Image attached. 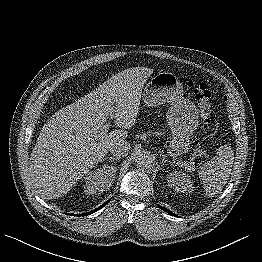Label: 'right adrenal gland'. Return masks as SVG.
Returning a JSON list of instances; mask_svg holds the SVG:
<instances>
[{
  "label": "right adrenal gland",
  "mask_w": 262,
  "mask_h": 262,
  "mask_svg": "<svg viewBox=\"0 0 262 262\" xmlns=\"http://www.w3.org/2000/svg\"><path fill=\"white\" fill-rule=\"evenodd\" d=\"M104 159H109L111 162H114V160H117L118 158L111 156V157H106Z\"/></svg>",
  "instance_id": "right-adrenal-gland-1"
}]
</instances>
